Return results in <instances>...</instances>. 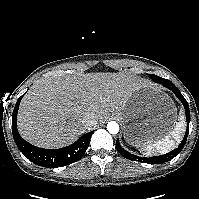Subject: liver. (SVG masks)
<instances>
[{
	"instance_id": "liver-1",
	"label": "liver",
	"mask_w": 199,
	"mask_h": 199,
	"mask_svg": "<svg viewBox=\"0 0 199 199\" xmlns=\"http://www.w3.org/2000/svg\"><path fill=\"white\" fill-rule=\"evenodd\" d=\"M138 89L135 78L117 73L38 81L22 101L18 118L20 132L41 146H63L97 121L107 119L110 112L123 108ZM171 109L175 114L174 105ZM87 115L94 117L96 124H83Z\"/></svg>"
}]
</instances>
